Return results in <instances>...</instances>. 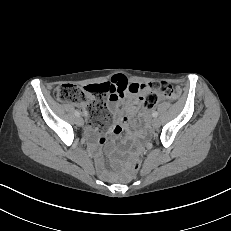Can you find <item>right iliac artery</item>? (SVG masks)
Returning a JSON list of instances; mask_svg holds the SVG:
<instances>
[{
    "label": "right iliac artery",
    "mask_w": 231,
    "mask_h": 231,
    "mask_svg": "<svg viewBox=\"0 0 231 231\" xmlns=\"http://www.w3.org/2000/svg\"><path fill=\"white\" fill-rule=\"evenodd\" d=\"M75 115H76L77 117H79V116H80V113H79L78 111H75Z\"/></svg>",
    "instance_id": "right-iliac-artery-1"
}]
</instances>
